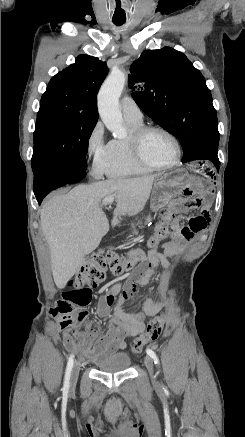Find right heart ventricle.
I'll return each mask as SVG.
<instances>
[{"instance_id":"right-heart-ventricle-1","label":"right heart ventricle","mask_w":245,"mask_h":437,"mask_svg":"<svg viewBox=\"0 0 245 437\" xmlns=\"http://www.w3.org/2000/svg\"><path fill=\"white\" fill-rule=\"evenodd\" d=\"M125 121L130 134L142 126L141 122ZM128 138L113 139L109 142L108 154L104 164V173L109 178H129L153 171V169L143 166L134 159L129 148Z\"/></svg>"}]
</instances>
